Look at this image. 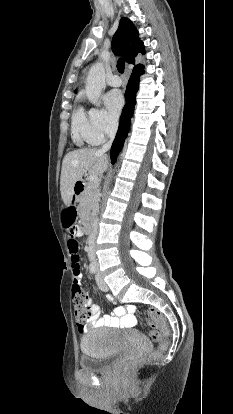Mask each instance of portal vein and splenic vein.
Listing matches in <instances>:
<instances>
[{
  "label": "portal vein and splenic vein",
  "mask_w": 233,
  "mask_h": 414,
  "mask_svg": "<svg viewBox=\"0 0 233 414\" xmlns=\"http://www.w3.org/2000/svg\"><path fill=\"white\" fill-rule=\"evenodd\" d=\"M77 163V162H76ZM89 181L92 183V184H98V182H99V178H98V176L97 175H89Z\"/></svg>",
  "instance_id": "1"
}]
</instances>
